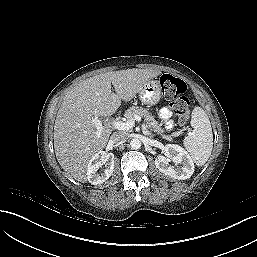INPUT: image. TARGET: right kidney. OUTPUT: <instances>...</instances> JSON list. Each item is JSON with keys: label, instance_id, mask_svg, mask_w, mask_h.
<instances>
[{"label": "right kidney", "instance_id": "1", "mask_svg": "<svg viewBox=\"0 0 257 257\" xmlns=\"http://www.w3.org/2000/svg\"><path fill=\"white\" fill-rule=\"evenodd\" d=\"M115 157L113 153L105 151L97 152L90 160L87 166V179L93 184H102L112 175L114 171ZM105 166L103 172H98L99 168Z\"/></svg>", "mask_w": 257, "mask_h": 257}]
</instances>
